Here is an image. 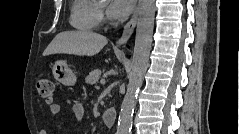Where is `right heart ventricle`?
Here are the masks:
<instances>
[{"mask_svg":"<svg viewBox=\"0 0 239 134\" xmlns=\"http://www.w3.org/2000/svg\"><path fill=\"white\" fill-rule=\"evenodd\" d=\"M100 9L96 1L75 0L71 6L70 24L81 31H92L100 21Z\"/></svg>","mask_w":239,"mask_h":134,"instance_id":"obj_1","label":"right heart ventricle"}]
</instances>
